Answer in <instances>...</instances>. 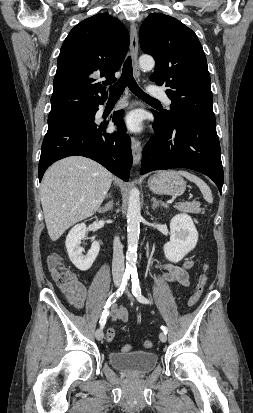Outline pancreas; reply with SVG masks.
I'll return each instance as SVG.
<instances>
[{"label":"pancreas","mask_w":253,"mask_h":413,"mask_svg":"<svg viewBox=\"0 0 253 413\" xmlns=\"http://www.w3.org/2000/svg\"><path fill=\"white\" fill-rule=\"evenodd\" d=\"M200 205V202L192 201L177 203L174 207L182 212L198 214L202 212Z\"/></svg>","instance_id":"cf45deb5"}]
</instances>
